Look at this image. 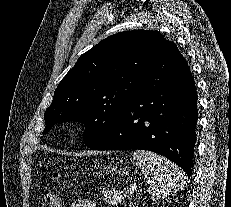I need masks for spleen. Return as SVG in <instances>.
Wrapping results in <instances>:
<instances>
[{
    "label": "spleen",
    "mask_w": 231,
    "mask_h": 207,
    "mask_svg": "<svg viewBox=\"0 0 231 207\" xmlns=\"http://www.w3.org/2000/svg\"><path fill=\"white\" fill-rule=\"evenodd\" d=\"M133 159L147 179L148 194L151 200L167 198L172 192L182 190L187 176L178 166L156 153L137 150Z\"/></svg>",
    "instance_id": "spleen-1"
}]
</instances>
